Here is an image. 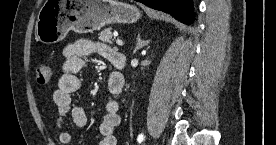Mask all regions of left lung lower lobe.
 I'll return each mask as SVG.
<instances>
[{
    "mask_svg": "<svg viewBox=\"0 0 276 145\" xmlns=\"http://www.w3.org/2000/svg\"><path fill=\"white\" fill-rule=\"evenodd\" d=\"M149 6L171 14L176 19L185 24L194 21L192 0H136Z\"/></svg>",
    "mask_w": 276,
    "mask_h": 145,
    "instance_id": "obj_1",
    "label": "left lung lower lobe"
}]
</instances>
